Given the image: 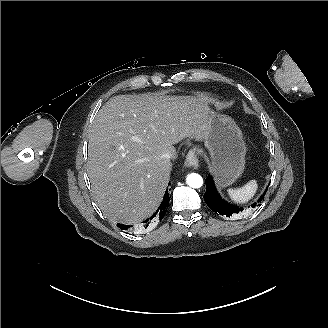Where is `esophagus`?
Returning a JSON list of instances; mask_svg holds the SVG:
<instances>
[{
  "instance_id": "1",
  "label": "esophagus",
  "mask_w": 328,
  "mask_h": 328,
  "mask_svg": "<svg viewBox=\"0 0 328 328\" xmlns=\"http://www.w3.org/2000/svg\"><path fill=\"white\" fill-rule=\"evenodd\" d=\"M198 163L199 162H198V157L196 155V152H195L194 149H191L188 152V154H187V156L185 158L184 164H185L186 167L196 168L198 166Z\"/></svg>"
}]
</instances>
